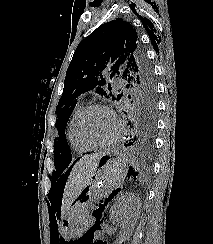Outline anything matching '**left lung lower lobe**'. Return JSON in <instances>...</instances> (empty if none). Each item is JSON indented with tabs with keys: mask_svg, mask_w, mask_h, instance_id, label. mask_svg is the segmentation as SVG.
Wrapping results in <instances>:
<instances>
[{
	"mask_svg": "<svg viewBox=\"0 0 213 244\" xmlns=\"http://www.w3.org/2000/svg\"><path fill=\"white\" fill-rule=\"evenodd\" d=\"M129 130L125 147L138 157H148L154 150L156 117L145 114H134L128 111Z\"/></svg>",
	"mask_w": 213,
	"mask_h": 244,
	"instance_id": "0a47b994",
	"label": "left lung lower lobe"
}]
</instances>
